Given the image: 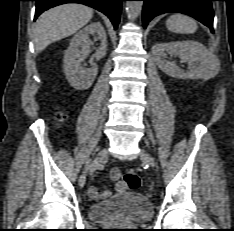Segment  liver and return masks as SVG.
I'll return each mask as SVG.
<instances>
[{
  "mask_svg": "<svg viewBox=\"0 0 234 231\" xmlns=\"http://www.w3.org/2000/svg\"><path fill=\"white\" fill-rule=\"evenodd\" d=\"M93 16V10L81 4H64L44 12L35 25L34 44L37 53L48 45L76 33Z\"/></svg>",
  "mask_w": 234,
  "mask_h": 231,
  "instance_id": "liver-1",
  "label": "liver"
}]
</instances>
